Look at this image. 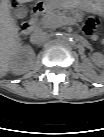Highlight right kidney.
<instances>
[{"label": "right kidney", "mask_w": 104, "mask_h": 137, "mask_svg": "<svg viewBox=\"0 0 104 137\" xmlns=\"http://www.w3.org/2000/svg\"><path fill=\"white\" fill-rule=\"evenodd\" d=\"M35 56L33 50L29 46H20L15 55L9 60V69L17 74L24 73V59L31 60Z\"/></svg>", "instance_id": "ca27d5eb"}]
</instances>
